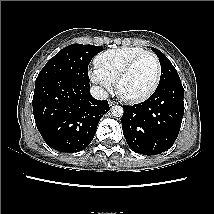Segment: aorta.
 Instances as JSON below:
<instances>
[{"label":"aorta","instance_id":"1","mask_svg":"<svg viewBox=\"0 0 214 214\" xmlns=\"http://www.w3.org/2000/svg\"><path fill=\"white\" fill-rule=\"evenodd\" d=\"M123 108L121 106L115 105L111 108V113L115 117H121L123 115Z\"/></svg>","mask_w":214,"mask_h":214}]
</instances>
